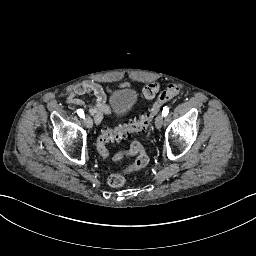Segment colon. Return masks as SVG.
I'll use <instances>...</instances> for the list:
<instances>
[{
	"mask_svg": "<svg viewBox=\"0 0 256 256\" xmlns=\"http://www.w3.org/2000/svg\"><path fill=\"white\" fill-rule=\"evenodd\" d=\"M179 93V87L171 84L165 90H163L152 104L149 111L141 115L137 119L129 120L123 125H119L114 128H108L102 131L98 142L97 150L103 156H109L110 152L107 148V144L114 142L119 139L128 138L134 134L142 133L147 130L157 114L162 110L164 105L175 98ZM136 156L135 165H132L129 171L136 168L145 167L149 163V155L147 154L144 145L141 142H134L130 147V151L123 150L121 153H113L111 158L119 161L122 158L128 157L129 155ZM126 182V173L118 172L110 174L107 177V184L111 187H121Z\"/></svg>",
	"mask_w": 256,
	"mask_h": 256,
	"instance_id": "1",
	"label": "colon"
}]
</instances>
